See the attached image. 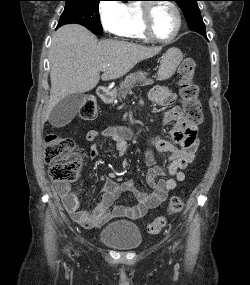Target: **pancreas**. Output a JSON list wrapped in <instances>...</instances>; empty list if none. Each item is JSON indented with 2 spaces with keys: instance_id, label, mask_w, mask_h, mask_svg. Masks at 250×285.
<instances>
[{
  "instance_id": "obj_1",
  "label": "pancreas",
  "mask_w": 250,
  "mask_h": 285,
  "mask_svg": "<svg viewBox=\"0 0 250 285\" xmlns=\"http://www.w3.org/2000/svg\"><path fill=\"white\" fill-rule=\"evenodd\" d=\"M147 75L148 74L146 72L142 71H136L127 75L125 77V80L120 83V87L118 88V99L120 101H122V99H125L127 94L131 92V89L136 84H140L141 86L152 85L154 81L152 79H149Z\"/></svg>"
}]
</instances>
